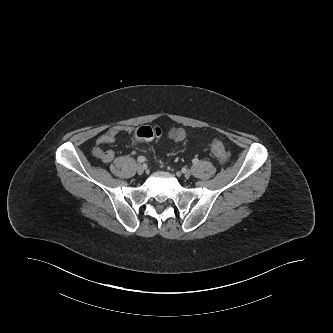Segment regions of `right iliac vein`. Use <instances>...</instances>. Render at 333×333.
Returning a JSON list of instances; mask_svg holds the SVG:
<instances>
[{
	"mask_svg": "<svg viewBox=\"0 0 333 333\" xmlns=\"http://www.w3.org/2000/svg\"><path fill=\"white\" fill-rule=\"evenodd\" d=\"M136 170H137V172H138L139 174H143L144 171H145L144 165H142V164H137V166H136Z\"/></svg>",
	"mask_w": 333,
	"mask_h": 333,
	"instance_id": "63e3f726",
	"label": "right iliac vein"
}]
</instances>
